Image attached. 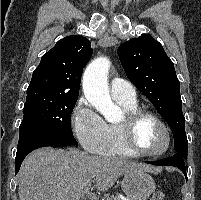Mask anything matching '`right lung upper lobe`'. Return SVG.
Wrapping results in <instances>:
<instances>
[{"label":"right lung upper lobe","mask_w":201,"mask_h":200,"mask_svg":"<svg viewBox=\"0 0 201 200\" xmlns=\"http://www.w3.org/2000/svg\"><path fill=\"white\" fill-rule=\"evenodd\" d=\"M92 52L90 41L83 36L71 35L59 40L42 56L27 93L50 92L78 97L83 68Z\"/></svg>","instance_id":"obj_1"}]
</instances>
